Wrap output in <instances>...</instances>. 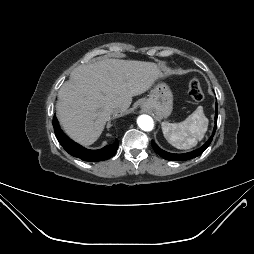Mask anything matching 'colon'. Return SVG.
I'll return each instance as SVG.
<instances>
[{"label": "colon", "mask_w": 254, "mask_h": 254, "mask_svg": "<svg viewBox=\"0 0 254 254\" xmlns=\"http://www.w3.org/2000/svg\"><path fill=\"white\" fill-rule=\"evenodd\" d=\"M190 97L197 103L202 102L204 100V93L201 88V84L199 79L193 78L189 82L188 89Z\"/></svg>", "instance_id": "5ec220e1"}]
</instances>
